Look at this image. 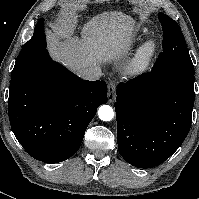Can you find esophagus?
Instances as JSON below:
<instances>
[{
  "mask_svg": "<svg viewBox=\"0 0 199 199\" xmlns=\"http://www.w3.org/2000/svg\"><path fill=\"white\" fill-rule=\"evenodd\" d=\"M115 90H116V84L114 81H111L108 87V102L109 103H113L115 101Z\"/></svg>",
  "mask_w": 199,
  "mask_h": 199,
  "instance_id": "esophagus-1",
  "label": "esophagus"
}]
</instances>
